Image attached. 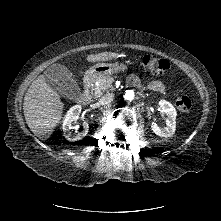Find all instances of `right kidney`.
<instances>
[{
  "mask_svg": "<svg viewBox=\"0 0 221 221\" xmlns=\"http://www.w3.org/2000/svg\"><path fill=\"white\" fill-rule=\"evenodd\" d=\"M82 107L75 105L69 109L63 122L64 136L70 141H76L82 139L88 133V125H85L83 132H78L75 136H72L70 129H72L71 123L79 118Z\"/></svg>",
  "mask_w": 221,
  "mask_h": 221,
  "instance_id": "right-kidney-1",
  "label": "right kidney"
}]
</instances>
